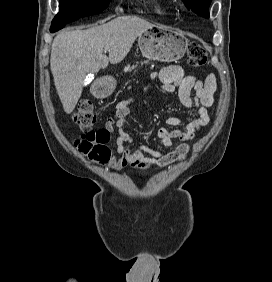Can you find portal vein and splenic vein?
<instances>
[{"instance_id":"1","label":"portal vein and splenic vein","mask_w":272,"mask_h":282,"mask_svg":"<svg viewBox=\"0 0 272 282\" xmlns=\"http://www.w3.org/2000/svg\"><path fill=\"white\" fill-rule=\"evenodd\" d=\"M104 51H105V52L110 51L109 47H105Z\"/></svg>"}]
</instances>
